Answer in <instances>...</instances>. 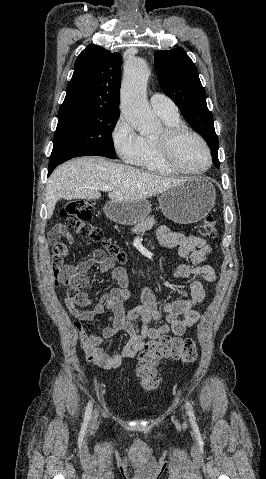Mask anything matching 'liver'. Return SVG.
<instances>
[{
  "label": "liver",
  "mask_w": 266,
  "mask_h": 479,
  "mask_svg": "<svg viewBox=\"0 0 266 479\" xmlns=\"http://www.w3.org/2000/svg\"><path fill=\"white\" fill-rule=\"evenodd\" d=\"M162 177L102 157H80L59 166L46 185L47 216L61 198L98 199L100 188L113 187L108 197L115 202L145 200L187 181Z\"/></svg>",
  "instance_id": "1"
}]
</instances>
